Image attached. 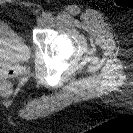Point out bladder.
Instances as JSON below:
<instances>
[{
    "label": "bladder",
    "instance_id": "1",
    "mask_svg": "<svg viewBox=\"0 0 133 133\" xmlns=\"http://www.w3.org/2000/svg\"><path fill=\"white\" fill-rule=\"evenodd\" d=\"M30 48L10 25L0 22V62L22 64L30 57Z\"/></svg>",
    "mask_w": 133,
    "mask_h": 133
}]
</instances>
